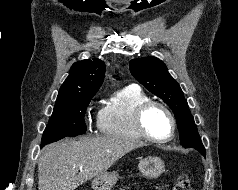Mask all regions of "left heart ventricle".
<instances>
[{
	"label": "left heart ventricle",
	"mask_w": 238,
	"mask_h": 190,
	"mask_svg": "<svg viewBox=\"0 0 238 190\" xmlns=\"http://www.w3.org/2000/svg\"><path fill=\"white\" fill-rule=\"evenodd\" d=\"M145 126L150 134L156 137H165L169 134L171 123L166 113L154 107L145 116Z\"/></svg>",
	"instance_id": "obj_1"
}]
</instances>
